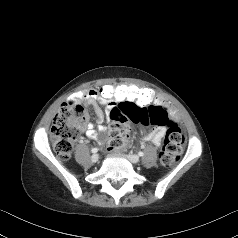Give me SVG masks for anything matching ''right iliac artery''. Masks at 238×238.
I'll return each instance as SVG.
<instances>
[{
    "instance_id": "82829eb1",
    "label": "right iliac artery",
    "mask_w": 238,
    "mask_h": 238,
    "mask_svg": "<svg viewBox=\"0 0 238 238\" xmlns=\"http://www.w3.org/2000/svg\"><path fill=\"white\" fill-rule=\"evenodd\" d=\"M91 152H92V153L98 152V148H92Z\"/></svg>"
}]
</instances>
